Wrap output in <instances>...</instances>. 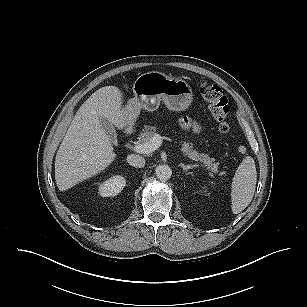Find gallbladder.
<instances>
[{
	"mask_svg": "<svg viewBox=\"0 0 307 307\" xmlns=\"http://www.w3.org/2000/svg\"><path fill=\"white\" fill-rule=\"evenodd\" d=\"M99 120H100L102 128L105 130L110 140L113 143H117V134L111 122L105 117H100Z\"/></svg>",
	"mask_w": 307,
	"mask_h": 307,
	"instance_id": "1",
	"label": "gallbladder"
}]
</instances>
